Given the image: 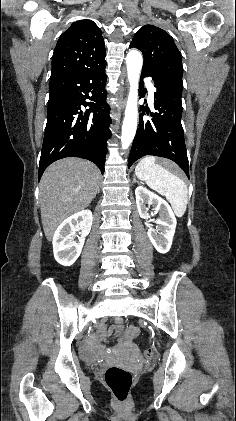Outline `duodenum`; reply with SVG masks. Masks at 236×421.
<instances>
[{"label": "duodenum", "mask_w": 236, "mask_h": 421, "mask_svg": "<svg viewBox=\"0 0 236 421\" xmlns=\"http://www.w3.org/2000/svg\"><path fill=\"white\" fill-rule=\"evenodd\" d=\"M116 327L119 331L122 330L121 323H118V325ZM130 335H131L130 330L125 332L126 337H129ZM98 355H99V352H98L97 345H95L92 341L87 342L86 345L84 346V357H85V359L88 360V361H94L98 358Z\"/></svg>", "instance_id": "duodenum-1"}]
</instances>
